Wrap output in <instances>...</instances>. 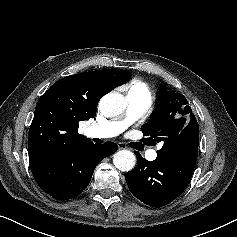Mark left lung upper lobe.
<instances>
[{
	"label": "left lung upper lobe",
	"mask_w": 237,
	"mask_h": 237,
	"mask_svg": "<svg viewBox=\"0 0 237 237\" xmlns=\"http://www.w3.org/2000/svg\"><path fill=\"white\" fill-rule=\"evenodd\" d=\"M156 105L149 121L141 128L148 137L143 142L148 145L163 143L157 154L165 156H180L197 150L199 126L187 99L180 93L161 89Z\"/></svg>",
	"instance_id": "5c2ea615"
}]
</instances>
